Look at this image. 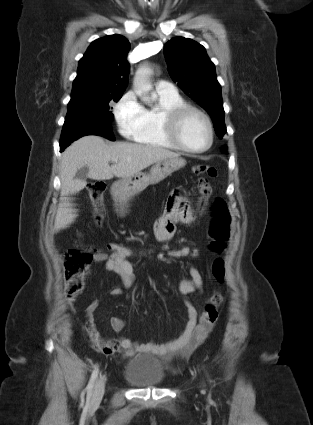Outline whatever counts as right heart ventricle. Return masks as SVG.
Wrapping results in <instances>:
<instances>
[{"label": "right heart ventricle", "instance_id": "obj_1", "mask_svg": "<svg viewBox=\"0 0 313 425\" xmlns=\"http://www.w3.org/2000/svg\"><path fill=\"white\" fill-rule=\"evenodd\" d=\"M156 100L157 103L155 106L145 109L144 127L134 137V140L151 147L179 150L166 135L163 114L185 103L178 93L169 95L156 91Z\"/></svg>", "mask_w": 313, "mask_h": 425}]
</instances>
